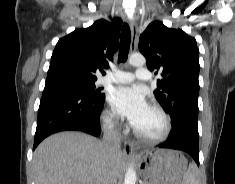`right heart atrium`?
Instances as JSON below:
<instances>
[{
	"label": "right heart atrium",
	"mask_w": 235,
	"mask_h": 184,
	"mask_svg": "<svg viewBox=\"0 0 235 184\" xmlns=\"http://www.w3.org/2000/svg\"><path fill=\"white\" fill-rule=\"evenodd\" d=\"M102 120L104 122L105 128L112 134L120 133V125L118 121L113 117L110 111L105 110L102 113Z\"/></svg>",
	"instance_id": "d8ad5b80"
}]
</instances>
